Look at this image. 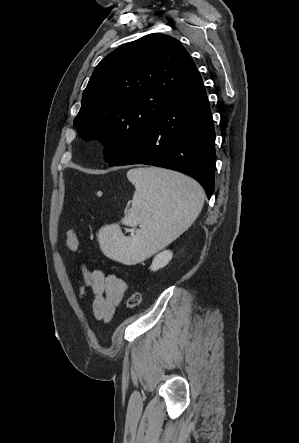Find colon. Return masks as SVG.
<instances>
[{
  "mask_svg": "<svg viewBox=\"0 0 299 443\" xmlns=\"http://www.w3.org/2000/svg\"><path fill=\"white\" fill-rule=\"evenodd\" d=\"M66 243L69 249L73 252L79 250V241L74 228L69 227L66 231ZM142 300V295L139 291H134L127 299V306L131 309L137 308Z\"/></svg>",
  "mask_w": 299,
  "mask_h": 443,
  "instance_id": "1",
  "label": "colon"
}]
</instances>
